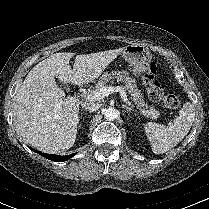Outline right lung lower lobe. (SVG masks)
I'll use <instances>...</instances> for the list:
<instances>
[{"instance_id": "right-lung-lower-lobe-1", "label": "right lung lower lobe", "mask_w": 209, "mask_h": 209, "mask_svg": "<svg viewBox=\"0 0 209 209\" xmlns=\"http://www.w3.org/2000/svg\"><path fill=\"white\" fill-rule=\"evenodd\" d=\"M31 150H34V149L31 148ZM34 152L40 153L43 157H45L49 160H52V161H65L75 155V154H71V155L60 156V155L42 153L37 150H34Z\"/></svg>"}]
</instances>
